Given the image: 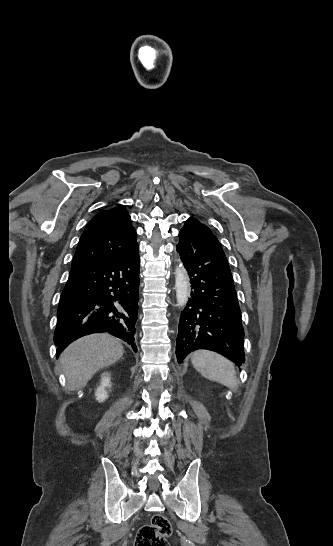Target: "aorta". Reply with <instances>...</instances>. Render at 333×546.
<instances>
[{"instance_id": "obj_1", "label": "aorta", "mask_w": 333, "mask_h": 546, "mask_svg": "<svg viewBox=\"0 0 333 546\" xmlns=\"http://www.w3.org/2000/svg\"><path fill=\"white\" fill-rule=\"evenodd\" d=\"M175 287L178 303L177 305L179 307H184L189 296V280L183 267H178L175 271Z\"/></svg>"}]
</instances>
